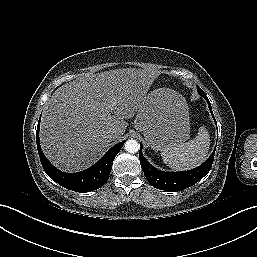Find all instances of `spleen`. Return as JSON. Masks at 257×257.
Segmentation results:
<instances>
[{
  "label": "spleen",
  "mask_w": 257,
  "mask_h": 257,
  "mask_svg": "<svg viewBox=\"0 0 257 257\" xmlns=\"http://www.w3.org/2000/svg\"><path fill=\"white\" fill-rule=\"evenodd\" d=\"M209 147V133L205 127H200L194 139L163 150L161 156L170 168L184 171L202 164L207 158Z\"/></svg>",
  "instance_id": "1"
}]
</instances>
